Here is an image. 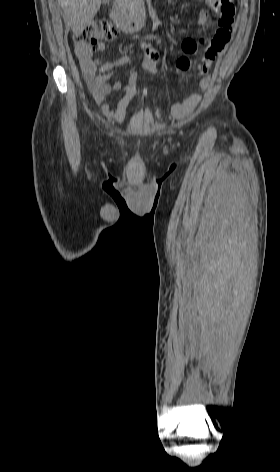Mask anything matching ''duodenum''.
<instances>
[{"mask_svg": "<svg viewBox=\"0 0 280 472\" xmlns=\"http://www.w3.org/2000/svg\"><path fill=\"white\" fill-rule=\"evenodd\" d=\"M111 17L126 33L135 32L145 24V12L138 5L116 8L112 11Z\"/></svg>", "mask_w": 280, "mask_h": 472, "instance_id": "410a0bca", "label": "duodenum"}]
</instances>
